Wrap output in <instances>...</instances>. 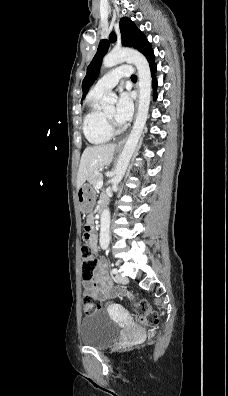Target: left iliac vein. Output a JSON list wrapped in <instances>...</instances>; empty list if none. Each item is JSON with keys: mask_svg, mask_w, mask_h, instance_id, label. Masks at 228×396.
<instances>
[{"mask_svg": "<svg viewBox=\"0 0 228 396\" xmlns=\"http://www.w3.org/2000/svg\"><path fill=\"white\" fill-rule=\"evenodd\" d=\"M115 278H116V281H117L119 284H126V283H128V279H127L126 277H123V276L120 275V274H117Z\"/></svg>", "mask_w": 228, "mask_h": 396, "instance_id": "left-iliac-vein-1", "label": "left iliac vein"}]
</instances>
